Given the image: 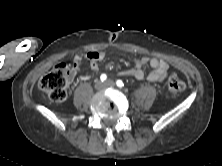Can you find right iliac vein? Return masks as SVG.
<instances>
[{
  "label": "right iliac vein",
  "instance_id": "obj_1",
  "mask_svg": "<svg viewBox=\"0 0 222 166\" xmlns=\"http://www.w3.org/2000/svg\"><path fill=\"white\" fill-rule=\"evenodd\" d=\"M95 89L101 90L104 87V83L100 80H97L94 84Z\"/></svg>",
  "mask_w": 222,
  "mask_h": 166
}]
</instances>
